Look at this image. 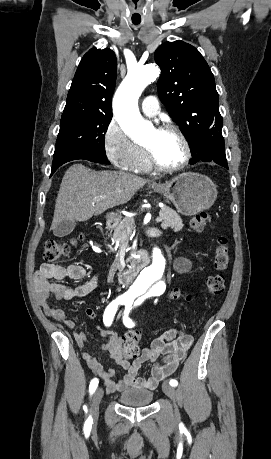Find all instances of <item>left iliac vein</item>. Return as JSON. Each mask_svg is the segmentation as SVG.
Instances as JSON below:
<instances>
[{"instance_id": "obj_1", "label": "left iliac vein", "mask_w": 271, "mask_h": 459, "mask_svg": "<svg viewBox=\"0 0 271 459\" xmlns=\"http://www.w3.org/2000/svg\"><path fill=\"white\" fill-rule=\"evenodd\" d=\"M162 389H163V392L169 398L172 399V401L174 402V405H175L176 392H175L174 388L167 381H165L163 383V385H162ZM175 409H176V406H175Z\"/></svg>"}]
</instances>
